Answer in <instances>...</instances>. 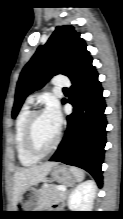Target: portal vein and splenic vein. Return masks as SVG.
Instances as JSON below:
<instances>
[{
	"label": "portal vein and splenic vein",
	"mask_w": 123,
	"mask_h": 219,
	"mask_svg": "<svg viewBox=\"0 0 123 219\" xmlns=\"http://www.w3.org/2000/svg\"><path fill=\"white\" fill-rule=\"evenodd\" d=\"M57 188L60 191H66V187L65 186H58Z\"/></svg>",
	"instance_id": "portal-vein-and-splenic-vein-1"
}]
</instances>
